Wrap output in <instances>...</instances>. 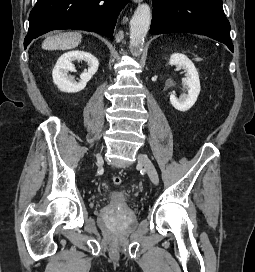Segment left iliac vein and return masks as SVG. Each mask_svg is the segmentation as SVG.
I'll use <instances>...</instances> for the list:
<instances>
[{
  "instance_id": "1",
  "label": "left iliac vein",
  "mask_w": 255,
  "mask_h": 272,
  "mask_svg": "<svg viewBox=\"0 0 255 272\" xmlns=\"http://www.w3.org/2000/svg\"><path fill=\"white\" fill-rule=\"evenodd\" d=\"M138 163L143 166L145 171L147 172L149 178L154 184H158L159 177L156 171V168L152 161L149 159V157L146 154H139L138 156Z\"/></svg>"
}]
</instances>
